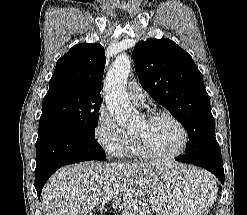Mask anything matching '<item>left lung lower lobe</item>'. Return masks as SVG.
<instances>
[{
	"mask_svg": "<svg viewBox=\"0 0 247 215\" xmlns=\"http://www.w3.org/2000/svg\"><path fill=\"white\" fill-rule=\"evenodd\" d=\"M176 160L205 168L213 173L222 184L224 183L223 161L217 140L199 141L195 144L193 154L182 155Z\"/></svg>",
	"mask_w": 247,
	"mask_h": 215,
	"instance_id": "1",
	"label": "left lung lower lobe"
}]
</instances>
